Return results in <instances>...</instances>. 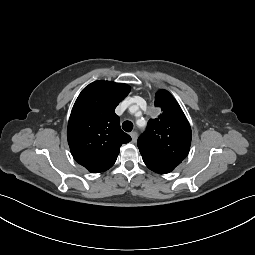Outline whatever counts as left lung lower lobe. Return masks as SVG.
Wrapping results in <instances>:
<instances>
[{"label":"left lung lower lobe","mask_w":255,"mask_h":255,"mask_svg":"<svg viewBox=\"0 0 255 255\" xmlns=\"http://www.w3.org/2000/svg\"><path fill=\"white\" fill-rule=\"evenodd\" d=\"M152 171L157 172V173H161V174L169 173V172H166V171H159V170H152Z\"/></svg>","instance_id":"0a47b994"}]
</instances>
